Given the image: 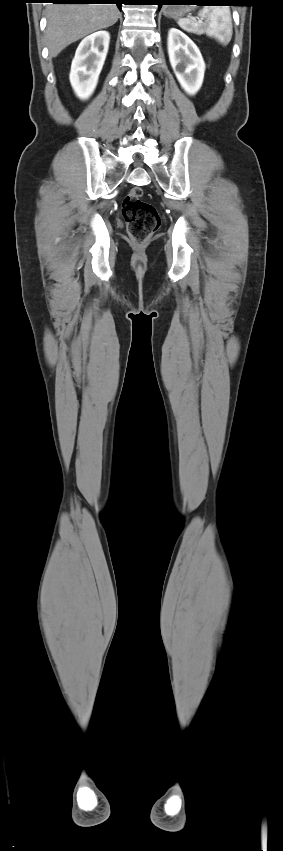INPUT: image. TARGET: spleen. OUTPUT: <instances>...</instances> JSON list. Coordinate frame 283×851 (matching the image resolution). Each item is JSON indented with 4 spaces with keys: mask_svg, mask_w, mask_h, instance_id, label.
<instances>
[{
    "mask_svg": "<svg viewBox=\"0 0 283 851\" xmlns=\"http://www.w3.org/2000/svg\"><path fill=\"white\" fill-rule=\"evenodd\" d=\"M198 15L205 18L207 20L206 23L196 22L189 18H180L177 23L187 32H206L223 45H227L230 42L233 34V26L229 7H203Z\"/></svg>",
    "mask_w": 283,
    "mask_h": 851,
    "instance_id": "3e777b00",
    "label": "spleen"
}]
</instances>
